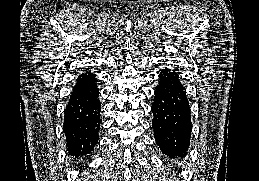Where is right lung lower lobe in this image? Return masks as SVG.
<instances>
[{
	"label": "right lung lower lobe",
	"instance_id": "right-lung-lower-lobe-1",
	"mask_svg": "<svg viewBox=\"0 0 259 181\" xmlns=\"http://www.w3.org/2000/svg\"><path fill=\"white\" fill-rule=\"evenodd\" d=\"M96 74L82 73L65 109L64 132L70 155L82 157L93 151L100 129L101 103Z\"/></svg>",
	"mask_w": 259,
	"mask_h": 181
}]
</instances>
